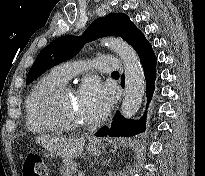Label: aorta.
Masks as SVG:
<instances>
[{"mask_svg":"<svg viewBox=\"0 0 205 176\" xmlns=\"http://www.w3.org/2000/svg\"><path fill=\"white\" fill-rule=\"evenodd\" d=\"M101 43L110 47L121 59L125 70L124 98L121 106L122 115L132 118L139 110L144 90L143 68L134 49L119 37H107Z\"/></svg>","mask_w":205,"mask_h":176,"instance_id":"aorta-1","label":"aorta"}]
</instances>
